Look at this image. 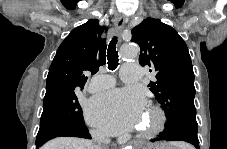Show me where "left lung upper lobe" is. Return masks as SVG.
<instances>
[{"label":"left lung upper lobe","instance_id":"5c2ea615","mask_svg":"<svg viewBox=\"0 0 227 149\" xmlns=\"http://www.w3.org/2000/svg\"><path fill=\"white\" fill-rule=\"evenodd\" d=\"M141 49L139 63L156 76L150 90L169 120H196L194 72L188 48L175 29L147 18L132 30Z\"/></svg>","mask_w":227,"mask_h":149}]
</instances>
